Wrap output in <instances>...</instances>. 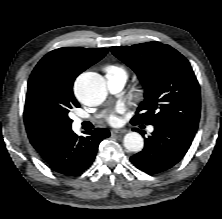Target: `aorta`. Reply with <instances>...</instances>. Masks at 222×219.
Here are the masks:
<instances>
[{"mask_svg":"<svg viewBox=\"0 0 222 219\" xmlns=\"http://www.w3.org/2000/svg\"><path fill=\"white\" fill-rule=\"evenodd\" d=\"M75 92L78 98L86 105L95 106L102 103L107 95L103 78L93 72L81 74L75 82ZM124 147L130 152H139L143 149L144 140L137 132H129L124 136Z\"/></svg>","mask_w":222,"mask_h":219,"instance_id":"762f6f07","label":"aorta"}]
</instances>
